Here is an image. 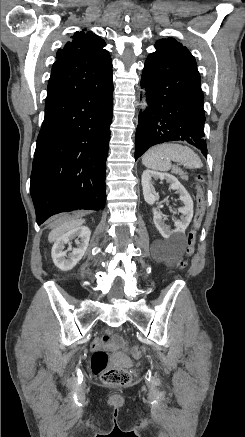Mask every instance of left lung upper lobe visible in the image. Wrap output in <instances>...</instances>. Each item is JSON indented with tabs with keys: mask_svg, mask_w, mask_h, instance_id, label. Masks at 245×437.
Returning a JSON list of instances; mask_svg holds the SVG:
<instances>
[{
	"mask_svg": "<svg viewBox=\"0 0 245 437\" xmlns=\"http://www.w3.org/2000/svg\"><path fill=\"white\" fill-rule=\"evenodd\" d=\"M163 45H168V46L175 47V48L179 49L180 51H182L183 53L189 55L191 58L194 59V57L189 52V50L186 47H183V45L181 43L177 42L173 38L161 39V40L157 41L156 44H155V46H163Z\"/></svg>",
	"mask_w": 245,
	"mask_h": 437,
	"instance_id": "left-lung-upper-lobe-1",
	"label": "left lung upper lobe"
}]
</instances>
